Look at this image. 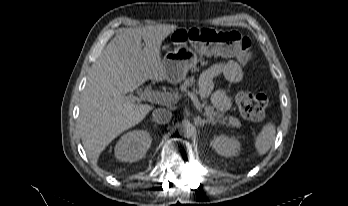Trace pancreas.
<instances>
[{"instance_id": "pancreas-1", "label": "pancreas", "mask_w": 348, "mask_h": 206, "mask_svg": "<svg viewBox=\"0 0 348 206\" xmlns=\"http://www.w3.org/2000/svg\"><path fill=\"white\" fill-rule=\"evenodd\" d=\"M195 79L194 77H190L184 81L182 85H180V90L185 92L189 87H193L194 93H198V90L195 88ZM202 106L205 109V115L210 118L213 122H220L222 124H226L230 127H240L241 123L238 118L232 116H223V114L215 111L214 107L208 104V100L205 99L203 101Z\"/></svg>"}]
</instances>
